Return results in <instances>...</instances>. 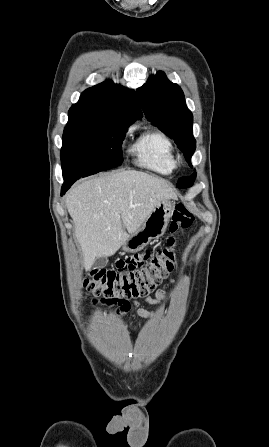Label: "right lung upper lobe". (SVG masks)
I'll return each mask as SVG.
<instances>
[{
	"label": "right lung upper lobe",
	"instance_id": "right-lung-upper-lobe-1",
	"mask_svg": "<svg viewBox=\"0 0 269 447\" xmlns=\"http://www.w3.org/2000/svg\"><path fill=\"white\" fill-rule=\"evenodd\" d=\"M68 115L116 123H133L143 116L135 92L110 80L86 89Z\"/></svg>",
	"mask_w": 269,
	"mask_h": 447
}]
</instances>
